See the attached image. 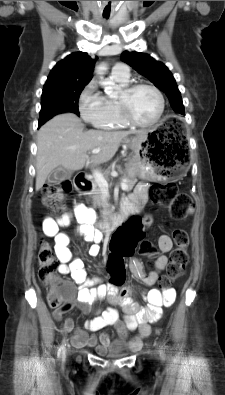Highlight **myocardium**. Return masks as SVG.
Masks as SVG:
<instances>
[{
  "mask_svg": "<svg viewBox=\"0 0 225 395\" xmlns=\"http://www.w3.org/2000/svg\"><path fill=\"white\" fill-rule=\"evenodd\" d=\"M141 88H147V89L152 90L155 93V95L157 96L158 102H159V111H158L157 116L155 117V119L153 121L148 122V123H142V122L136 121L131 116V113L129 110V100H130L131 96L138 89H141ZM117 101H118V107L120 110L122 120L124 121L125 124H127L128 126H132V127L150 128V127L155 126L161 120V118L164 114V110H165V100H164L162 92L156 86H154L150 83H145V82L130 84V85H127L126 87H124L122 89L120 97L117 99Z\"/></svg>",
  "mask_w": 225,
  "mask_h": 395,
  "instance_id": "f54148a6",
  "label": "myocardium"
}]
</instances>
